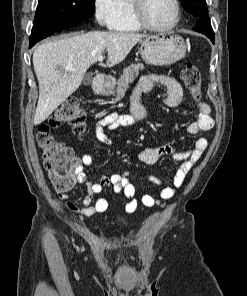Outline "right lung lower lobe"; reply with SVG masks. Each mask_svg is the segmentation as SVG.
<instances>
[{
	"label": "right lung lower lobe",
	"instance_id": "1",
	"mask_svg": "<svg viewBox=\"0 0 247 296\" xmlns=\"http://www.w3.org/2000/svg\"><path fill=\"white\" fill-rule=\"evenodd\" d=\"M53 32H55V31H51V32H49V33L47 34V36L51 35ZM40 40H41V39H40ZM38 41H39L38 39H35V40L30 39V41H29V43H30L29 47L31 48V47H32L34 44H36Z\"/></svg>",
	"mask_w": 247,
	"mask_h": 296
}]
</instances>
